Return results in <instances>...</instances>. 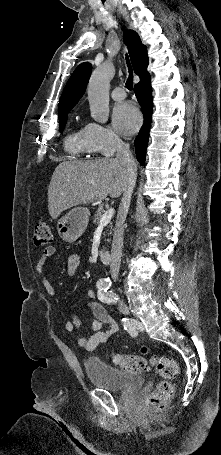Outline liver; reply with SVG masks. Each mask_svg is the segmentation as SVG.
<instances>
[{
  "mask_svg": "<svg viewBox=\"0 0 221 455\" xmlns=\"http://www.w3.org/2000/svg\"><path fill=\"white\" fill-rule=\"evenodd\" d=\"M126 168L117 158L94 161H64L51 178L48 188V210L53 219L65 210L108 195L119 197L126 187Z\"/></svg>",
  "mask_w": 221,
  "mask_h": 455,
  "instance_id": "obj_1",
  "label": "liver"
}]
</instances>
